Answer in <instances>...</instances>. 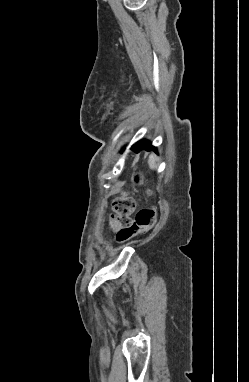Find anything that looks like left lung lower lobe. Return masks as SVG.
Instances as JSON below:
<instances>
[{"label":"left lung lower lobe","mask_w":249,"mask_h":382,"mask_svg":"<svg viewBox=\"0 0 249 382\" xmlns=\"http://www.w3.org/2000/svg\"><path fill=\"white\" fill-rule=\"evenodd\" d=\"M132 150L138 153L141 150H147V151L155 150L156 151V148L153 147L149 141L140 140L139 142H137L136 144H134L132 146Z\"/></svg>","instance_id":"left-lung-lower-lobe-1"}]
</instances>
